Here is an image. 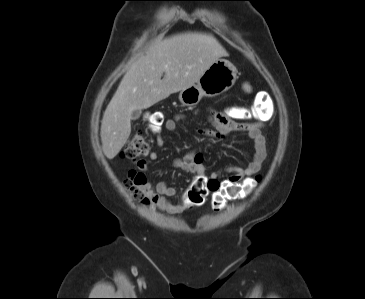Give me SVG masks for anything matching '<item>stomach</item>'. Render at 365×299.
I'll use <instances>...</instances> for the list:
<instances>
[{
	"label": "stomach",
	"instance_id": "0dacf381",
	"mask_svg": "<svg viewBox=\"0 0 365 299\" xmlns=\"http://www.w3.org/2000/svg\"><path fill=\"white\" fill-rule=\"evenodd\" d=\"M237 79L235 66L226 59L216 60L192 86L179 93L183 106L197 105L203 97H216L233 87Z\"/></svg>",
	"mask_w": 365,
	"mask_h": 299
}]
</instances>
